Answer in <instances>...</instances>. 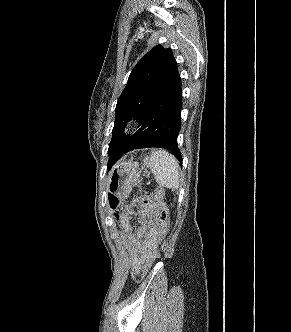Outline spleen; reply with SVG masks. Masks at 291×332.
<instances>
[{"instance_id": "1", "label": "spleen", "mask_w": 291, "mask_h": 332, "mask_svg": "<svg viewBox=\"0 0 291 332\" xmlns=\"http://www.w3.org/2000/svg\"><path fill=\"white\" fill-rule=\"evenodd\" d=\"M149 166L160 186L173 189L179 187V164L172 154L165 150L154 151Z\"/></svg>"}]
</instances>
